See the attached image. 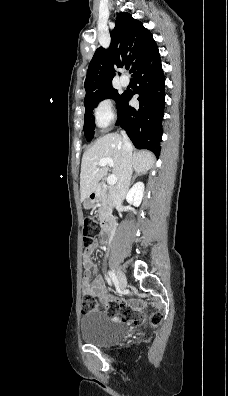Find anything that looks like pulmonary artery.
<instances>
[{"instance_id": "e3ab8cb5", "label": "pulmonary artery", "mask_w": 228, "mask_h": 396, "mask_svg": "<svg viewBox=\"0 0 228 396\" xmlns=\"http://www.w3.org/2000/svg\"><path fill=\"white\" fill-rule=\"evenodd\" d=\"M120 83L122 86H128L129 85V78L126 75H122L120 77Z\"/></svg>"}]
</instances>
